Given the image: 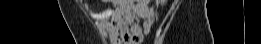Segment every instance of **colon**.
Segmentation results:
<instances>
[{"instance_id":"colon-1","label":"colon","mask_w":261,"mask_h":44,"mask_svg":"<svg viewBox=\"0 0 261 44\" xmlns=\"http://www.w3.org/2000/svg\"><path fill=\"white\" fill-rule=\"evenodd\" d=\"M146 4H148L150 1L149 0H142ZM113 6H136L137 2L136 1H121V0H114L111 1ZM155 19V13L154 10L151 8L148 10V13L146 15V19L143 24V31L145 35H149L151 31L152 24Z\"/></svg>"}]
</instances>
